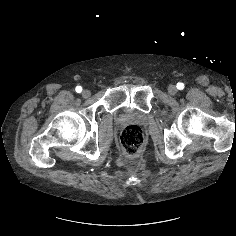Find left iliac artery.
Wrapping results in <instances>:
<instances>
[{
    "instance_id": "left-iliac-artery-1",
    "label": "left iliac artery",
    "mask_w": 236,
    "mask_h": 236,
    "mask_svg": "<svg viewBox=\"0 0 236 236\" xmlns=\"http://www.w3.org/2000/svg\"><path fill=\"white\" fill-rule=\"evenodd\" d=\"M177 89L183 90L184 89V84L181 83V82L177 83Z\"/></svg>"
}]
</instances>
